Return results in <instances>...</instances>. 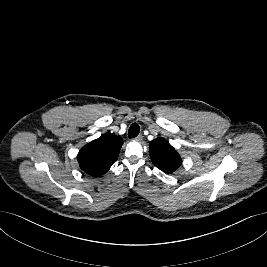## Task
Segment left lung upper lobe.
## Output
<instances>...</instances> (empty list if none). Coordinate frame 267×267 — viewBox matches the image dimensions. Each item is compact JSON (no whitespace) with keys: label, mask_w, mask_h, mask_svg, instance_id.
Instances as JSON below:
<instances>
[{"label":"left lung upper lobe","mask_w":267,"mask_h":267,"mask_svg":"<svg viewBox=\"0 0 267 267\" xmlns=\"http://www.w3.org/2000/svg\"><path fill=\"white\" fill-rule=\"evenodd\" d=\"M149 153L152 163L165 173L174 172L182 162L178 152L164 138L151 141Z\"/></svg>","instance_id":"1"}]
</instances>
